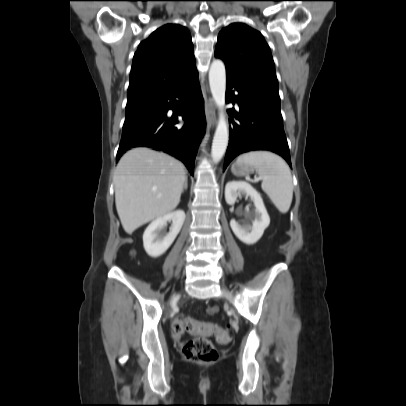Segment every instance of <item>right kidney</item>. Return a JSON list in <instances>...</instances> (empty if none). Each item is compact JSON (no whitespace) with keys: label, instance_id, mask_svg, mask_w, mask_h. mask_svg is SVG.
I'll return each mask as SVG.
<instances>
[{"label":"right kidney","instance_id":"obj_1","mask_svg":"<svg viewBox=\"0 0 406 406\" xmlns=\"http://www.w3.org/2000/svg\"><path fill=\"white\" fill-rule=\"evenodd\" d=\"M185 220L183 210H177L154 220L143 234V245L147 254L151 257H159L171 246L180 232ZM167 222H172L170 232L163 238L159 236V230Z\"/></svg>","mask_w":406,"mask_h":406}]
</instances>
